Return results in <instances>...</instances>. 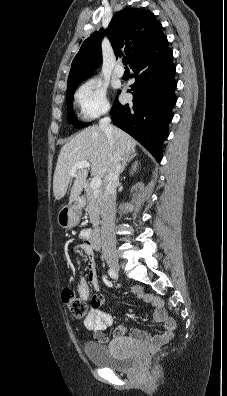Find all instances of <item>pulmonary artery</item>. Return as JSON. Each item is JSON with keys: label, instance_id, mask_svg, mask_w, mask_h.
Masks as SVG:
<instances>
[{"label": "pulmonary artery", "instance_id": "pulmonary-artery-1", "mask_svg": "<svg viewBox=\"0 0 227 396\" xmlns=\"http://www.w3.org/2000/svg\"><path fill=\"white\" fill-rule=\"evenodd\" d=\"M124 68L121 65H118L115 70L114 73L117 77H122L124 75Z\"/></svg>", "mask_w": 227, "mask_h": 396}]
</instances>
